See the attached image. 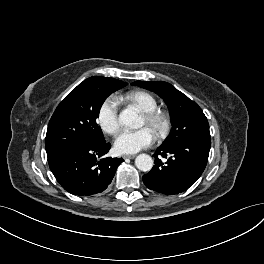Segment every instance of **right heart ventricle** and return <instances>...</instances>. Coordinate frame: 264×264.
<instances>
[{"mask_svg": "<svg viewBox=\"0 0 264 264\" xmlns=\"http://www.w3.org/2000/svg\"><path fill=\"white\" fill-rule=\"evenodd\" d=\"M120 99L135 105L142 112L158 108L156 98L151 93L143 90L130 91L122 95Z\"/></svg>", "mask_w": 264, "mask_h": 264, "instance_id": "right-heart-ventricle-1", "label": "right heart ventricle"}]
</instances>
